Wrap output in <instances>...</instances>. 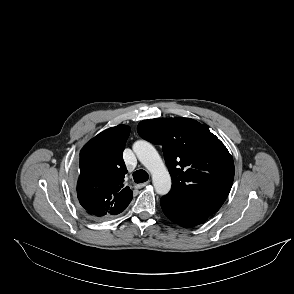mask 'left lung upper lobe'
Listing matches in <instances>:
<instances>
[{"label": "left lung upper lobe", "instance_id": "obj_1", "mask_svg": "<svg viewBox=\"0 0 294 294\" xmlns=\"http://www.w3.org/2000/svg\"><path fill=\"white\" fill-rule=\"evenodd\" d=\"M139 135L163 146L172 178L170 200L189 205L207 215L217 212L234 179L233 158L209 128L190 118L144 120Z\"/></svg>", "mask_w": 294, "mask_h": 294}]
</instances>
